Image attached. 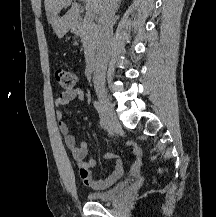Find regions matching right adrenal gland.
Listing matches in <instances>:
<instances>
[{"label": "right adrenal gland", "mask_w": 216, "mask_h": 217, "mask_svg": "<svg viewBox=\"0 0 216 217\" xmlns=\"http://www.w3.org/2000/svg\"><path fill=\"white\" fill-rule=\"evenodd\" d=\"M121 1H122V0H118V3H117V9H119V8H120Z\"/></svg>", "instance_id": "2a0ac1e0"}]
</instances>
